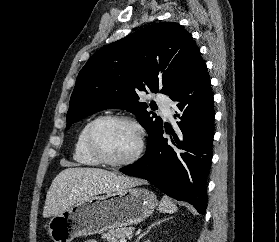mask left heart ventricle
I'll return each mask as SVG.
<instances>
[{"instance_id":"b2bd125f","label":"left heart ventricle","mask_w":279,"mask_h":242,"mask_svg":"<svg viewBox=\"0 0 279 242\" xmlns=\"http://www.w3.org/2000/svg\"><path fill=\"white\" fill-rule=\"evenodd\" d=\"M103 152L113 160L130 157L137 148L138 135L133 126L123 122H105L97 131Z\"/></svg>"}]
</instances>
